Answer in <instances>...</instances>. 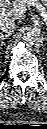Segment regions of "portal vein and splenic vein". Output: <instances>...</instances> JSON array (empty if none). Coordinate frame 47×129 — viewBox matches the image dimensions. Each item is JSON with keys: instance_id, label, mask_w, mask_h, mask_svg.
<instances>
[{"instance_id": "1", "label": "portal vein and splenic vein", "mask_w": 47, "mask_h": 129, "mask_svg": "<svg viewBox=\"0 0 47 129\" xmlns=\"http://www.w3.org/2000/svg\"><path fill=\"white\" fill-rule=\"evenodd\" d=\"M30 4H31V6H36L38 9L42 10L43 13H45L44 7L40 6V4L37 1L32 0L30 2ZM26 11H27V7L25 5H18V6H15L14 8H12L9 12H2L1 18L18 19L22 15H24L26 13Z\"/></svg>"}]
</instances>
